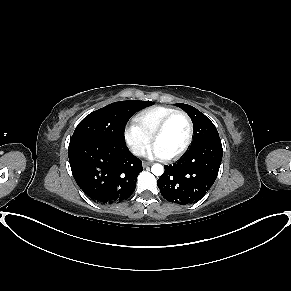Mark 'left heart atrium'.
<instances>
[{"instance_id":"39dd6f15","label":"left heart atrium","mask_w":291,"mask_h":291,"mask_svg":"<svg viewBox=\"0 0 291 291\" xmlns=\"http://www.w3.org/2000/svg\"><path fill=\"white\" fill-rule=\"evenodd\" d=\"M148 157L157 159H166L168 155L157 145L153 144L145 153Z\"/></svg>"}]
</instances>
